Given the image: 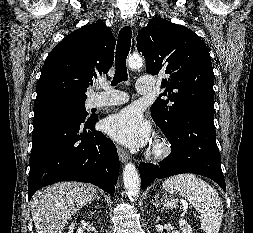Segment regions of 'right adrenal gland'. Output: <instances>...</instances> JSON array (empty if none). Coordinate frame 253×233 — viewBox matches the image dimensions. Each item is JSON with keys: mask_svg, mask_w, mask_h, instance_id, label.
Listing matches in <instances>:
<instances>
[{"mask_svg": "<svg viewBox=\"0 0 253 233\" xmlns=\"http://www.w3.org/2000/svg\"><path fill=\"white\" fill-rule=\"evenodd\" d=\"M96 199H100V196L97 195V196H96Z\"/></svg>", "mask_w": 253, "mask_h": 233, "instance_id": "obj_1", "label": "right adrenal gland"}]
</instances>
